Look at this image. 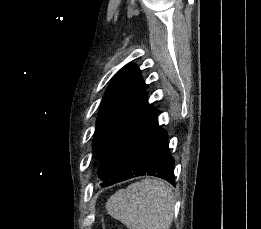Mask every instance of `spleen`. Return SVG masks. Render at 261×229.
I'll return each instance as SVG.
<instances>
[{"label": "spleen", "mask_w": 261, "mask_h": 229, "mask_svg": "<svg viewBox=\"0 0 261 229\" xmlns=\"http://www.w3.org/2000/svg\"><path fill=\"white\" fill-rule=\"evenodd\" d=\"M174 207V193L156 179L120 189L106 203L108 215L128 229H170Z\"/></svg>", "instance_id": "3e777b00"}]
</instances>
